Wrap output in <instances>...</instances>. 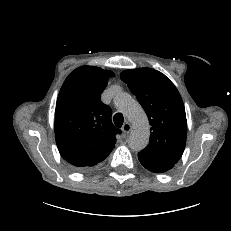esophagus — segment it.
I'll return each mask as SVG.
<instances>
[{"mask_svg": "<svg viewBox=\"0 0 231 231\" xmlns=\"http://www.w3.org/2000/svg\"><path fill=\"white\" fill-rule=\"evenodd\" d=\"M122 131L124 134L128 135L131 131V125L126 122L122 127Z\"/></svg>", "mask_w": 231, "mask_h": 231, "instance_id": "obj_1", "label": "esophagus"}]
</instances>
